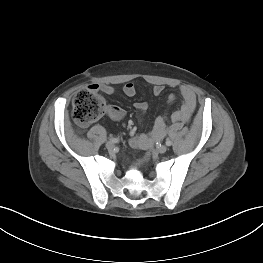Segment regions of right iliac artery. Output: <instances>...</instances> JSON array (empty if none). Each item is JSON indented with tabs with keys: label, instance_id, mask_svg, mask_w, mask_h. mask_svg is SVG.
Returning a JSON list of instances; mask_svg holds the SVG:
<instances>
[{
	"label": "right iliac artery",
	"instance_id": "1",
	"mask_svg": "<svg viewBox=\"0 0 263 263\" xmlns=\"http://www.w3.org/2000/svg\"><path fill=\"white\" fill-rule=\"evenodd\" d=\"M109 140L113 143H117L119 142V139L118 138H113V137H110Z\"/></svg>",
	"mask_w": 263,
	"mask_h": 263
}]
</instances>
